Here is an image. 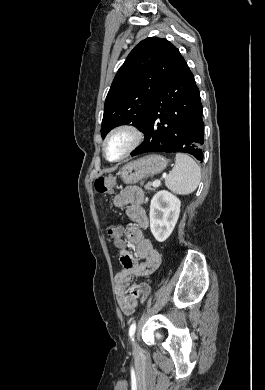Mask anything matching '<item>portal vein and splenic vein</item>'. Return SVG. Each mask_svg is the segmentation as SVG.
<instances>
[{
	"label": "portal vein and splenic vein",
	"instance_id": "18ae733b",
	"mask_svg": "<svg viewBox=\"0 0 265 390\" xmlns=\"http://www.w3.org/2000/svg\"><path fill=\"white\" fill-rule=\"evenodd\" d=\"M160 180H155L154 182H153V185L155 186V187H158L159 185H160Z\"/></svg>",
	"mask_w": 265,
	"mask_h": 390
}]
</instances>
